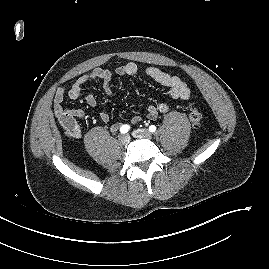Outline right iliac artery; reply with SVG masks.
Returning a JSON list of instances; mask_svg holds the SVG:
<instances>
[{"instance_id": "right-iliac-artery-1", "label": "right iliac artery", "mask_w": 269, "mask_h": 269, "mask_svg": "<svg viewBox=\"0 0 269 269\" xmlns=\"http://www.w3.org/2000/svg\"><path fill=\"white\" fill-rule=\"evenodd\" d=\"M129 130H130V126L127 125V124L122 125V126L120 127V132L123 133V134L127 133Z\"/></svg>"}]
</instances>
